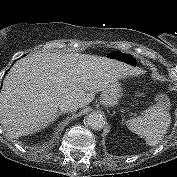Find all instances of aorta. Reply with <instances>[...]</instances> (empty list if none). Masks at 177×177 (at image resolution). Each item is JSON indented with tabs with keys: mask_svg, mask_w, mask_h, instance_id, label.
<instances>
[{
	"mask_svg": "<svg viewBox=\"0 0 177 177\" xmlns=\"http://www.w3.org/2000/svg\"><path fill=\"white\" fill-rule=\"evenodd\" d=\"M86 122L93 130H100L105 126V119L102 115L97 113L89 114L86 117Z\"/></svg>",
	"mask_w": 177,
	"mask_h": 177,
	"instance_id": "aorta-1",
	"label": "aorta"
}]
</instances>
